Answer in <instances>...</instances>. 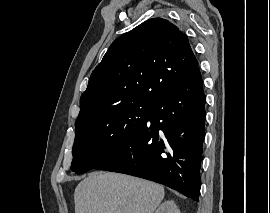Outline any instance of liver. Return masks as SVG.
Returning <instances> with one entry per match:
<instances>
[{
	"mask_svg": "<svg viewBox=\"0 0 270 213\" xmlns=\"http://www.w3.org/2000/svg\"><path fill=\"white\" fill-rule=\"evenodd\" d=\"M164 187L118 173L93 172L74 193L75 213H153Z\"/></svg>",
	"mask_w": 270,
	"mask_h": 213,
	"instance_id": "obj_1",
	"label": "liver"
}]
</instances>
